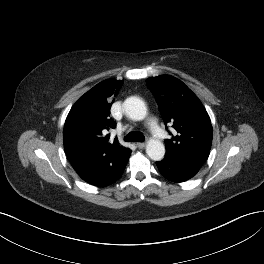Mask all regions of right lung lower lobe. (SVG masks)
Wrapping results in <instances>:
<instances>
[{"instance_id": "obj_1", "label": "right lung lower lobe", "mask_w": 264, "mask_h": 264, "mask_svg": "<svg viewBox=\"0 0 264 264\" xmlns=\"http://www.w3.org/2000/svg\"><path fill=\"white\" fill-rule=\"evenodd\" d=\"M131 152L118 163L106 160L72 163L78 175L87 183L105 187L117 181L123 174Z\"/></svg>"}]
</instances>
